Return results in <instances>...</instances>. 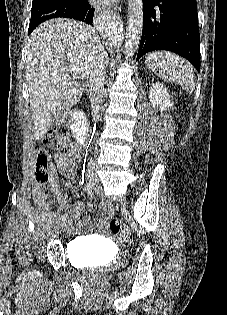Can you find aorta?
<instances>
[{"mask_svg":"<svg viewBox=\"0 0 227 315\" xmlns=\"http://www.w3.org/2000/svg\"><path fill=\"white\" fill-rule=\"evenodd\" d=\"M143 27V0H128V19L125 34L124 55L129 59L134 55L140 42ZM104 35L113 45H119L123 36L114 22H107Z\"/></svg>","mask_w":227,"mask_h":315,"instance_id":"762f6f07","label":"aorta"}]
</instances>
